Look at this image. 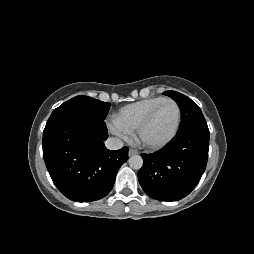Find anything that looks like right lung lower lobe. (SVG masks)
I'll use <instances>...</instances> for the list:
<instances>
[{"label": "right lung lower lobe", "mask_w": 254, "mask_h": 254, "mask_svg": "<svg viewBox=\"0 0 254 254\" xmlns=\"http://www.w3.org/2000/svg\"><path fill=\"white\" fill-rule=\"evenodd\" d=\"M107 138L106 124L99 118L71 111L50 116L43 131V157L65 197L89 202L111 191L119 168L128 159V147L108 150Z\"/></svg>", "instance_id": "98d812e1"}]
</instances>
